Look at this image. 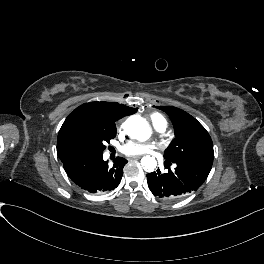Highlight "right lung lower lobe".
<instances>
[{"mask_svg": "<svg viewBox=\"0 0 264 264\" xmlns=\"http://www.w3.org/2000/svg\"><path fill=\"white\" fill-rule=\"evenodd\" d=\"M125 161L119 162L114 167L104 171L101 175L86 181L79 186L90 193L115 189L122 178Z\"/></svg>", "mask_w": 264, "mask_h": 264, "instance_id": "obj_1", "label": "right lung lower lobe"}]
</instances>
